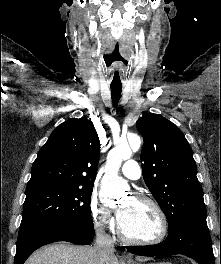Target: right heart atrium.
<instances>
[{
	"label": "right heart atrium",
	"instance_id": "d8ad5b80",
	"mask_svg": "<svg viewBox=\"0 0 221 264\" xmlns=\"http://www.w3.org/2000/svg\"><path fill=\"white\" fill-rule=\"evenodd\" d=\"M89 214L94 227L101 232H111L115 228V220L109 209L104 207L96 196L89 201Z\"/></svg>",
	"mask_w": 221,
	"mask_h": 264
}]
</instances>
